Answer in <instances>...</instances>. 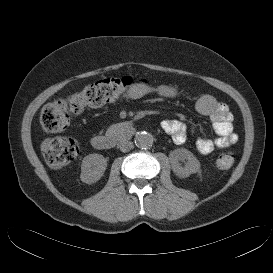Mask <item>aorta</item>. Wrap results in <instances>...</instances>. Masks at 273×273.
<instances>
[{
	"label": "aorta",
	"instance_id": "obj_1",
	"mask_svg": "<svg viewBox=\"0 0 273 273\" xmlns=\"http://www.w3.org/2000/svg\"><path fill=\"white\" fill-rule=\"evenodd\" d=\"M134 142L137 147L147 149L153 144V136L146 131H139L135 135Z\"/></svg>",
	"mask_w": 273,
	"mask_h": 273
}]
</instances>
